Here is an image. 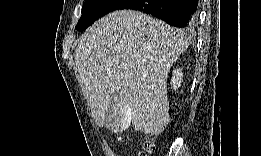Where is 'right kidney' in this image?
<instances>
[{"instance_id":"ca27d5eb","label":"right kidney","mask_w":261,"mask_h":156,"mask_svg":"<svg viewBox=\"0 0 261 156\" xmlns=\"http://www.w3.org/2000/svg\"><path fill=\"white\" fill-rule=\"evenodd\" d=\"M183 73L181 69L173 70V77L171 79V85L174 90L181 86Z\"/></svg>"}]
</instances>
